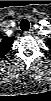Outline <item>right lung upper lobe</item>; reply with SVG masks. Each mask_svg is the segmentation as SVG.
<instances>
[{
  "label": "right lung upper lobe",
  "instance_id": "cb5924a9",
  "mask_svg": "<svg viewBox=\"0 0 51 101\" xmlns=\"http://www.w3.org/2000/svg\"><path fill=\"white\" fill-rule=\"evenodd\" d=\"M13 41H14V37H4L2 39V41L0 42V56L1 57H4L8 53Z\"/></svg>",
  "mask_w": 51,
  "mask_h": 101
}]
</instances>
